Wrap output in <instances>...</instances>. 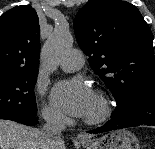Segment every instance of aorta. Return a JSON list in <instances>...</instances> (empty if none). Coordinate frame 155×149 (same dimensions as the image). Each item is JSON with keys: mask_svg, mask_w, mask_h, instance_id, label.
Instances as JSON below:
<instances>
[{"mask_svg": "<svg viewBox=\"0 0 155 149\" xmlns=\"http://www.w3.org/2000/svg\"><path fill=\"white\" fill-rule=\"evenodd\" d=\"M73 41L67 25L55 27L43 48V61L50 71L56 69L61 57L72 48Z\"/></svg>", "mask_w": 155, "mask_h": 149, "instance_id": "1", "label": "aorta"}]
</instances>
